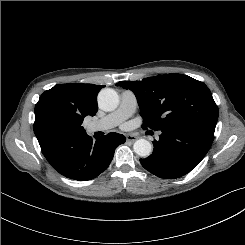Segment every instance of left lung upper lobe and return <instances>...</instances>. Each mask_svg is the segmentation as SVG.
Returning a JSON list of instances; mask_svg holds the SVG:
<instances>
[{
  "label": "left lung upper lobe",
  "mask_w": 245,
  "mask_h": 245,
  "mask_svg": "<svg viewBox=\"0 0 245 245\" xmlns=\"http://www.w3.org/2000/svg\"><path fill=\"white\" fill-rule=\"evenodd\" d=\"M117 86L134 92L144 129L192 126L215 131L218 107L203 82L183 74H164L141 81H120Z\"/></svg>",
  "instance_id": "obj_1"
}]
</instances>
